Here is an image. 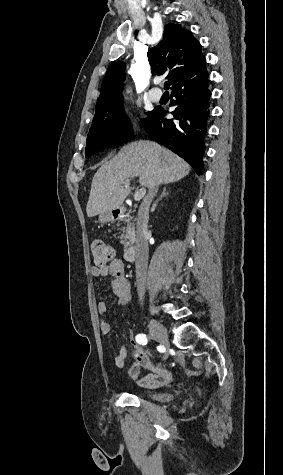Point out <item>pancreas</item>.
<instances>
[{"label": "pancreas", "instance_id": "1", "mask_svg": "<svg viewBox=\"0 0 283 475\" xmlns=\"http://www.w3.org/2000/svg\"><path fill=\"white\" fill-rule=\"evenodd\" d=\"M130 224L131 222H127V228H123V230H126V234L125 236H121L120 243H123L124 251H126L127 247L131 245V241H135V232L133 228H131Z\"/></svg>", "mask_w": 283, "mask_h": 475}]
</instances>
